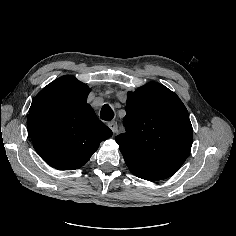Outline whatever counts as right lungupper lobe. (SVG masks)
Masks as SVG:
<instances>
[{
  "mask_svg": "<svg viewBox=\"0 0 236 236\" xmlns=\"http://www.w3.org/2000/svg\"><path fill=\"white\" fill-rule=\"evenodd\" d=\"M90 88L73 76H62L34 98L28 135L38 155L58 170L84 165L112 131L87 104Z\"/></svg>",
  "mask_w": 236,
  "mask_h": 236,
  "instance_id": "1",
  "label": "right lung upper lobe"
}]
</instances>
